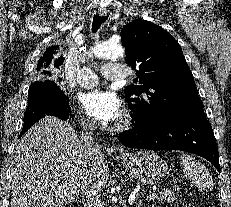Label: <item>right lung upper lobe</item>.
<instances>
[{
    "label": "right lung upper lobe",
    "instance_id": "cb5924a9",
    "mask_svg": "<svg viewBox=\"0 0 231 207\" xmlns=\"http://www.w3.org/2000/svg\"><path fill=\"white\" fill-rule=\"evenodd\" d=\"M59 47V45H55L46 49L43 56L38 61L36 75H45L47 73L46 69L53 65L54 62L55 65H61L63 63L64 58L62 56L55 58Z\"/></svg>",
    "mask_w": 231,
    "mask_h": 207
}]
</instances>
